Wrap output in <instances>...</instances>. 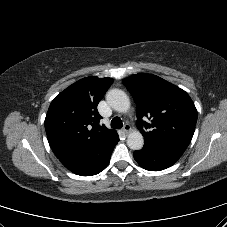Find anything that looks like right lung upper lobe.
Here are the masks:
<instances>
[{"label": "right lung upper lobe", "mask_w": 227, "mask_h": 227, "mask_svg": "<svg viewBox=\"0 0 227 227\" xmlns=\"http://www.w3.org/2000/svg\"><path fill=\"white\" fill-rule=\"evenodd\" d=\"M112 83L113 79L108 77H86L53 99L45 118V130L59 159L79 156L117 133L98 125L102 117L97 105Z\"/></svg>", "instance_id": "cb5924a9"}]
</instances>
